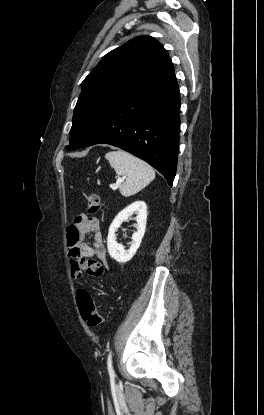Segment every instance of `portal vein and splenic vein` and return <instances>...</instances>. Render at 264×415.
I'll return each instance as SVG.
<instances>
[{
  "label": "portal vein and splenic vein",
  "instance_id": "obj_1",
  "mask_svg": "<svg viewBox=\"0 0 264 415\" xmlns=\"http://www.w3.org/2000/svg\"><path fill=\"white\" fill-rule=\"evenodd\" d=\"M123 181H124V178L118 179L117 182H116V184H111L110 187L113 190H115V189H117L120 186L121 182H123Z\"/></svg>",
  "mask_w": 264,
  "mask_h": 415
}]
</instances>
